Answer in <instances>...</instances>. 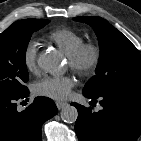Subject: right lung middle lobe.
<instances>
[{
  "instance_id": "obj_1",
  "label": "right lung middle lobe",
  "mask_w": 141,
  "mask_h": 141,
  "mask_svg": "<svg viewBox=\"0 0 141 141\" xmlns=\"http://www.w3.org/2000/svg\"><path fill=\"white\" fill-rule=\"evenodd\" d=\"M49 20L24 19L13 23L0 34V96L20 95L28 89L25 53L32 33Z\"/></svg>"
}]
</instances>
